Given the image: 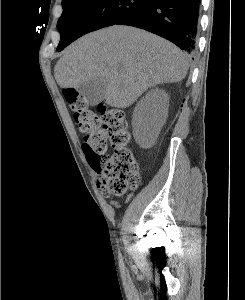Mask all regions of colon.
<instances>
[{
    "mask_svg": "<svg viewBox=\"0 0 245 300\" xmlns=\"http://www.w3.org/2000/svg\"><path fill=\"white\" fill-rule=\"evenodd\" d=\"M64 95L80 132L84 134L82 149L91 167L99 175L100 189L107 196H119L136 189L141 176L129 147L130 133L124 113L100 105L98 114L75 89L65 90ZM108 145L113 148L110 156L106 155Z\"/></svg>",
    "mask_w": 245,
    "mask_h": 300,
    "instance_id": "1",
    "label": "colon"
}]
</instances>
